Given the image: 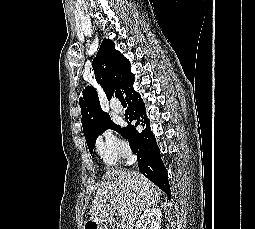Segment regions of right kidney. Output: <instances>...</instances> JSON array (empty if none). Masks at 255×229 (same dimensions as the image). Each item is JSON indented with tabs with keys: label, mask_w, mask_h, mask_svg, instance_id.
Here are the masks:
<instances>
[{
	"label": "right kidney",
	"mask_w": 255,
	"mask_h": 229,
	"mask_svg": "<svg viewBox=\"0 0 255 229\" xmlns=\"http://www.w3.org/2000/svg\"><path fill=\"white\" fill-rule=\"evenodd\" d=\"M162 213L159 208L144 211L136 222L137 229H160Z\"/></svg>",
	"instance_id": "ca27d5eb"
}]
</instances>
